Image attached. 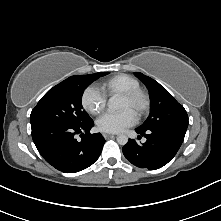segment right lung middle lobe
<instances>
[{"instance_id": "right-lung-middle-lobe-1", "label": "right lung middle lobe", "mask_w": 221, "mask_h": 221, "mask_svg": "<svg viewBox=\"0 0 221 221\" xmlns=\"http://www.w3.org/2000/svg\"><path fill=\"white\" fill-rule=\"evenodd\" d=\"M107 74L71 76L51 88L32 110L31 127L48 123L81 125L90 121L81 103L83 92L90 83Z\"/></svg>"}]
</instances>
